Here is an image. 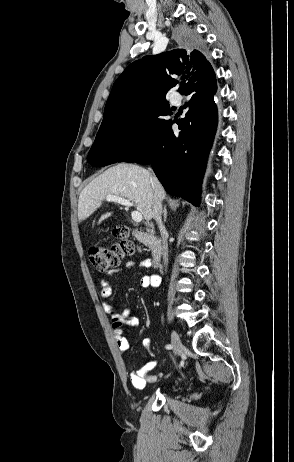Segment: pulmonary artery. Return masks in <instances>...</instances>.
I'll return each mask as SVG.
<instances>
[{"label": "pulmonary artery", "mask_w": 294, "mask_h": 462, "mask_svg": "<svg viewBox=\"0 0 294 462\" xmlns=\"http://www.w3.org/2000/svg\"><path fill=\"white\" fill-rule=\"evenodd\" d=\"M171 100H172L173 103H179V101H180V96H179V94L173 93V94L171 95Z\"/></svg>", "instance_id": "pulmonary-artery-1"}]
</instances>
